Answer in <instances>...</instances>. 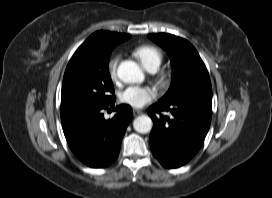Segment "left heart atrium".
Wrapping results in <instances>:
<instances>
[{"mask_svg": "<svg viewBox=\"0 0 272 198\" xmlns=\"http://www.w3.org/2000/svg\"><path fill=\"white\" fill-rule=\"evenodd\" d=\"M156 97V91L149 86H129L124 89L119 99L122 103L135 108H141L152 102Z\"/></svg>", "mask_w": 272, "mask_h": 198, "instance_id": "left-heart-atrium-1", "label": "left heart atrium"}]
</instances>
